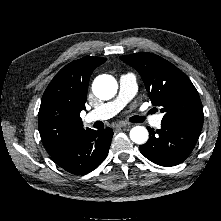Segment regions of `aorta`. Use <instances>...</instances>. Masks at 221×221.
Here are the masks:
<instances>
[{"label": "aorta", "mask_w": 221, "mask_h": 221, "mask_svg": "<svg viewBox=\"0 0 221 221\" xmlns=\"http://www.w3.org/2000/svg\"><path fill=\"white\" fill-rule=\"evenodd\" d=\"M117 88V81L111 75H100L92 84L93 93L102 100L111 99L116 94ZM148 136L149 133L143 126H135L130 130V139L136 144L146 143Z\"/></svg>", "instance_id": "aorta-1"}]
</instances>
